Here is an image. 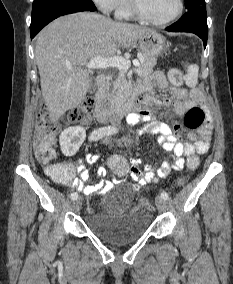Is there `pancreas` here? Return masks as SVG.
Listing matches in <instances>:
<instances>
[{
  "mask_svg": "<svg viewBox=\"0 0 233 284\" xmlns=\"http://www.w3.org/2000/svg\"><path fill=\"white\" fill-rule=\"evenodd\" d=\"M155 64L156 59L142 54L137 72L140 75L150 74L152 73ZM126 74V70H119L118 76L113 82L112 88L106 94L109 104L112 107L125 105L130 99L129 89L131 87V82L126 79Z\"/></svg>",
  "mask_w": 233,
  "mask_h": 284,
  "instance_id": "cf45deb5",
  "label": "pancreas"
}]
</instances>
